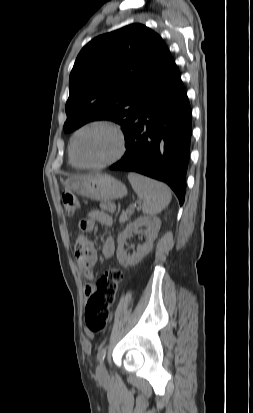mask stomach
I'll use <instances>...</instances> for the list:
<instances>
[{
    "mask_svg": "<svg viewBox=\"0 0 253 413\" xmlns=\"http://www.w3.org/2000/svg\"><path fill=\"white\" fill-rule=\"evenodd\" d=\"M65 187L78 195L96 201H109L127 194L126 186L107 174L76 176L65 182Z\"/></svg>",
    "mask_w": 253,
    "mask_h": 413,
    "instance_id": "0dacf381",
    "label": "stomach"
}]
</instances>
